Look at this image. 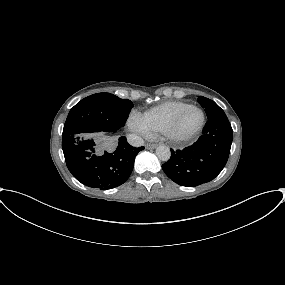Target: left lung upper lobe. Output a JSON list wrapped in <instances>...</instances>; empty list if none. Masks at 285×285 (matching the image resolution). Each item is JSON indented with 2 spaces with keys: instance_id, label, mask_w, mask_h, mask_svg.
<instances>
[{
  "instance_id": "obj_1",
  "label": "left lung upper lobe",
  "mask_w": 285,
  "mask_h": 285,
  "mask_svg": "<svg viewBox=\"0 0 285 285\" xmlns=\"http://www.w3.org/2000/svg\"><path fill=\"white\" fill-rule=\"evenodd\" d=\"M197 101L203 108H205L208 119L214 116L225 115L224 111L214 101L203 96H200Z\"/></svg>"
}]
</instances>
